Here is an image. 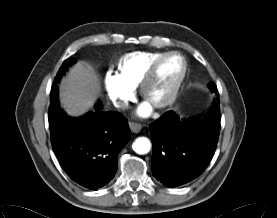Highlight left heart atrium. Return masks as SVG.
Returning <instances> with one entry per match:
<instances>
[{
    "instance_id": "left-heart-atrium-1",
    "label": "left heart atrium",
    "mask_w": 277,
    "mask_h": 218,
    "mask_svg": "<svg viewBox=\"0 0 277 218\" xmlns=\"http://www.w3.org/2000/svg\"><path fill=\"white\" fill-rule=\"evenodd\" d=\"M151 111V106L148 102H145L139 109H138V114L141 116H146L150 113Z\"/></svg>"
}]
</instances>
